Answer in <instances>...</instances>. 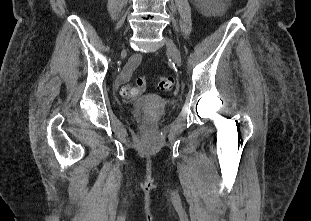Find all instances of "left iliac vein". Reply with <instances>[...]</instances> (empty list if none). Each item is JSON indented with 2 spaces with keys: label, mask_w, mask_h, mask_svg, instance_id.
Segmentation results:
<instances>
[{
  "label": "left iliac vein",
  "mask_w": 311,
  "mask_h": 221,
  "mask_svg": "<svg viewBox=\"0 0 311 221\" xmlns=\"http://www.w3.org/2000/svg\"><path fill=\"white\" fill-rule=\"evenodd\" d=\"M165 44H166L168 52L172 56L173 60L177 64V66H180L181 65L180 51L178 50V48L175 45V43L173 42V40L167 37L165 39Z\"/></svg>",
  "instance_id": "4c4485c4"
}]
</instances>
